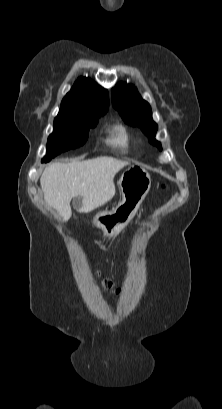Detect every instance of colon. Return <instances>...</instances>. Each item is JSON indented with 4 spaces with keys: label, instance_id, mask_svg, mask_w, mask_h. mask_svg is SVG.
<instances>
[{
    "label": "colon",
    "instance_id": "1",
    "mask_svg": "<svg viewBox=\"0 0 222 409\" xmlns=\"http://www.w3.org/2000/svg\"><path fill=\"white\" fill-rule=\"evenodd\" d=\"M93 274L94 276L99 280V285L101 287V289L105 290V291H111L113 293H118L119 290L118 289H114L113 285L111 283V281L107 278H103L101 277V273L98 269H94L93 270Z\"/></svg>",
    "mask_w": 222,
    "mask_h": 409
}]
</instances>
